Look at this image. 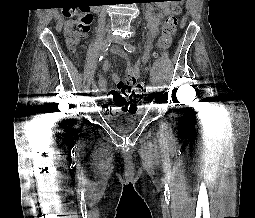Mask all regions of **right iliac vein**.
<instances>
[{"instance_id": "1", "label": "right iliac vein", "mask_w": 255, "mask_h": 218, "mask_svg": "<svg viewBox=\"0 0 255 218\" xmlns=\"http://www.w3.org/2000/svg\"><path fill=\"white\" fill-rule=\"evenodd\" d=\"M107 39H109L110 41L113 40V38L111 36H108ZM92 92L93 93H97L98 92V89H92Z\"/></svg>"}]
</instances>
